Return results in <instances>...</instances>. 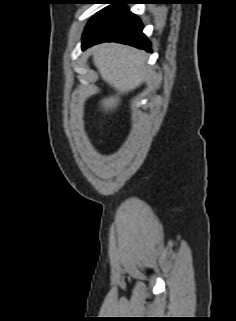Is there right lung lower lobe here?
Segmentation results:
<instances>
[{"label":"right lung lower lobe","mask_w":236,"mask_h":321,"mask_svg":"<svg viewBox=\"0 0 236 321\" xmlns=\"http://www.w3.org/2000/svg\"><path fill=\"white\" fill-rule=\"evenodd\" d=\"M111 4L88 22L82 37V48L114 41L149 51L150 42L142 33L143 25L140 19L124 6L128 3L120 1Z\"/></svg>","instance_id":"1"}]
</instances>
